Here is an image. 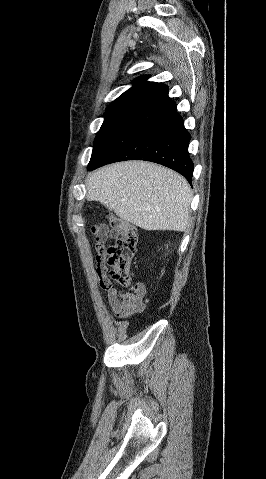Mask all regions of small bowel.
I'll return each mask as SVG.
<instances>
[{"instance_id":"c3829d8e","label":"small bowel","mask_w":266,"mask_h":479,"mask_svg":"<svg viewBox=\"0 0 266 479\" xmlns=\"http://www.w3.org/2000/svg\"><path fill=\"white\" fill-rule=\"evenodd\" d=\"M97 263L100 284L107 291L108 304L112 313L120 319H126L142 312L145 308V285L141 282H136L132 284L129 290L118 289L112 286L111 282L105 276V266L102 257H97Z\"/></svg>"}]
</instances>
